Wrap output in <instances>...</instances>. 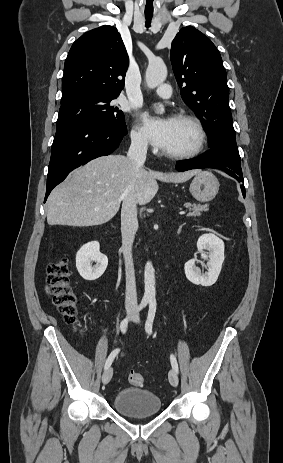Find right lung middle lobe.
I'll use <instances>...</instances> for the list:
<instances>
[{
    "label": "right lung middle lobe",
    "instance_id": "1",
    "mask_svg": "<svg viewBox=\"0 0 283 463\" xmlns=\"http://www.w3.org/2000/svg\"><path fill=\"white\" fill-rule=\"evenodd\" d=\"M114 99L116 96H87L61 105L57 129L84 121L125 127L123 112L111 104Z\"/></svg>",
    "mask_w": 283,
    "mask_h": 463
}]
</instances>
